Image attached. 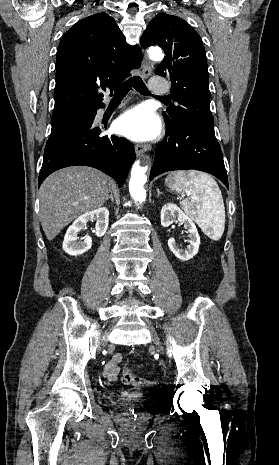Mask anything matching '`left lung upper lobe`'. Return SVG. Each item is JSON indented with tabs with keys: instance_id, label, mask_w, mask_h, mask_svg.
I'll list each match as a JSON object with an SVG mask.
<instances>
[{
	"instance_id": "1",
	"label": "left lung upper lobe",
	"mask_w": 279,
	"mask_h": 465,
	"mask_svg": "<svg viewBox=\"0 0 279 465\" xmlns=\"http://www.w3.org/2000/svg\"><path fill=\"white\" fill-rule=\"evenodd\" d=\"M140 43L143 48L158 45L166 54L155 73L171 79V96L178 102L163 112L166 126L189 125L215 136L206 53L198 33L183 19L159 13L148 24Z\"/></svg>"
}]
</instances>
